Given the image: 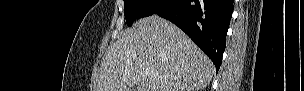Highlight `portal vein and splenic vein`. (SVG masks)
<instances>
[{
    "label": "portal vein and splenic vein",
    "mask_w": 304,
    "mask_h": 91,
    "mask_svg": "<svg viewBox=\"0 0 304 91\" xmlns=\"http://www.w3.org/2000/svg\"><path fill=\"white\" fill-rule=\"evenodd\" d=\"M146 73H147L148 75H151V74H152L151 70H149V69L146 70Z\"/></svg>",
    "instance_id": "18ae733b"
}]
</instances>
